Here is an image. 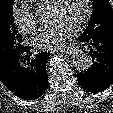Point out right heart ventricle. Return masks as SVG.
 <instances>
[{"label": "right heart ventricle", "instance_id": "1", "mask_svg": "<svg viewBox=\"0 0 113 113\" xmlns=\"http://www.w3.org/2000/svg\"><path fill=\"white\" fill-rule=\"evenodd\" d=\"M53 0H31L30 2L35 3L37 6L49 5Z\"/></svg>", "mask_w": 113, "mask_h": 113}]
</instances>
